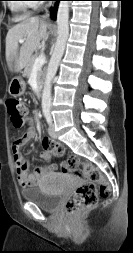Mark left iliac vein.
Returning <instances> with one entry per match:
<instances>
[{
	"mask_svg": "<svg viewBox=\"0 0 133 253\" xmlns=\"http://www.w3.org/2000/svg\"><path fill=\"white\" fill-rule=\"evenodd\" d=\"M48 133L51 137L56 138V131H55V127L54 124L51 122L49 128H48Z\"/></svg>",
	"mask_w": 133,
	"mask_h": 253,
	"instance_id": "4c4485c4",
	"label": "left iliac vein"
}]
</instances>
